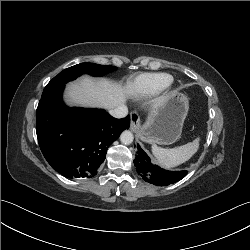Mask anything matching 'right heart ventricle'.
I'll return each instance as SVG.
<instances>
[{"label":"right heart ventricle","mask_w":250,"mask_h":250,"mask_svg":"<svg viewBox=\"0 0 250 250\" xmlns=\"http://www.w3.org/2000/svg\"><path fill=\"white\" fill-rule=\"evenodd\" d=\"M171 81L167 73H143L129 80L127 90L132 97L143 98L163 90Z\"/></svg>","instance_id":"right-heart-ventricle-1"}]
</instances>
